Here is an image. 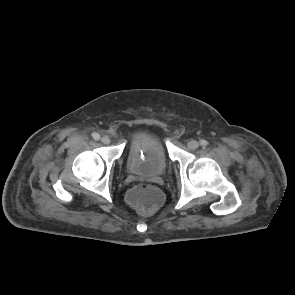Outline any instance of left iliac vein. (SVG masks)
<instances>
[{
    "instance_id": "left-iliac-vein-1",
    "label": "left iliac vein",
    "mask_w": 295,
    "mask_h": 295,
    "mask_svg": "<svg viewBox=\"0 0 295 295\" xmlns=\"http://www.w3.org/2000/svg\"><path fill=\"white\" fill-rule=\"evenodd\" d=\"M187 145L188 148L192 150L197 149L199 147V143L196 140H190Z\"/></svg>"
}]
</instances>
